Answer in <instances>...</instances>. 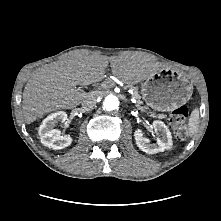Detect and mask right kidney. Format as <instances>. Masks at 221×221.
Instances as JSON below:
<instances>
[{"label":"right kidney","instance_id":"right-kidney-1","mask_svg":"<svg viewBox=\"0 0 221 221\" xmlns=\"http://www.w3.org/2000/svg\"><path fill=\"white\" fill-rule=\"evenodd\" d=\"M66 119V112L58 111L43 120L38 133L40 137L45 140L47 146L53 149H63L72 143L71 136L61 135L59 130L53 128L55 123L64 122Z\"/></svg>","mask_w":221,"mask_h":221}]
</instances>
